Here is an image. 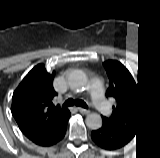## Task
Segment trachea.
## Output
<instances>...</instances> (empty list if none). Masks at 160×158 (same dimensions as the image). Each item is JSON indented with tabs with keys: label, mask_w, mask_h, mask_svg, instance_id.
I'll return each mask as SVG.
<instances>
[{
	"label": "trachea",
	"mask_w": 160,
	"mask_h": 158,
	"mask_svg": "<svg viewBox=\"0 0 160 158\" xmlns=\"http://www.w3.org/2000/svg\"><path fill=\"white\" fill-rule=\"evenodd\" d=\"M74 104L79 107L87 108V105L83 101L73 100L71 98L64 103V106L68 107V106H73Z\"/></svg>",
	"instance_id": "1"
}]
</instances>
